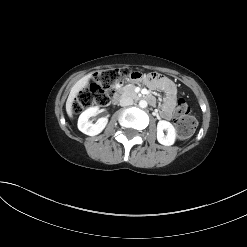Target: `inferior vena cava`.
Returning a JSON list of instances; mask_svg holds the SVG:
<instances>
[{"mask_svg":"<svg viewBox=\"0 0 247 247\" xmlns=\"http://www.w3.org/2000/svg\"><path fill=\"white\" fill-rule=\"evenodd\" d=\"M120 106H129L133 104V99L132 97L128 96V95H122L120 98V102H119Z\"/></svg>","mask_w":247,"mask_h":247,"instance_id":"602c4592","label":"inferior vena cava"}]
</instances>
